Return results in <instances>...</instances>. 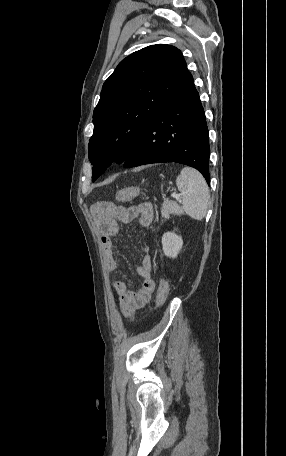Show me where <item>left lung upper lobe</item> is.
Masks as SVG:
<instances>
[{"instance_id": "obj_1", "label": "left lung upper lobe", "mask_w": 286, "mask_h": 456, "mask_svg": "<svg viewBox=\"0 0 286 456\" xmlns=\"http://www.w3.org/2000/svg\"><path fill=\"white\" fill-rule=\"evenodd\" d=\"M189 73L179 49L156 44L123 59L105 81L93 112L88 156L95 181L125 161L146 126Z\"/></svg>"}]
</instances>
